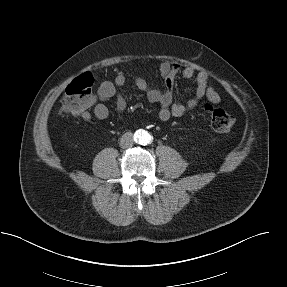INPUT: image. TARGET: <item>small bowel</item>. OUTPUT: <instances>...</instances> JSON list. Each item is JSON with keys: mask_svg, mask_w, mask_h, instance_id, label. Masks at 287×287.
Returning a JSON list of instances; mask_svg holds the SVG:
<instances>
[{"mask_svg": "<svg viewBox=\"0 0 287 287\" xmlns=\"http://www.w3.org/2000/svg\"><path fill=\"white\" fill-rule=\"evenodd\" d=\"M159 74L163 80L162 88H153L148 82L140 76L134 78L135 86L145 93L150 102L159 104V118L167 121L171 117H179L188 110L197 106L199 101L206 97L213 103L220 101V96L210 83V77L205 71L197 72L192 67H182L177 62H163L159 66ZM181 75L185 79L194 78L196 82V91L194 96L185 104L174 100L175 81L177 76ZM126 83V76L120 72L116 75L114 81H104L97 89V102L94 104L92 112L86 111L81 118L90 122L93 118L104 120L109 115V109L105 104L110 99H115L117 110L122 112L126 109V100L120 94L119 89Z\"/></svg>", "mask_w": 287, "mask_h": 287, "instance_id": "c3829d8e", "label": "small bowel"}]
</instances>
